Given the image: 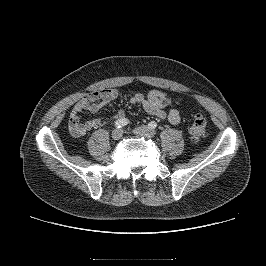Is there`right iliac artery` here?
<instances>
[{"label":"right iliac artery","mask_w":266,"mask_h":266,"mask_svg":"<svg viewBox=\"0 0 266 266\" xmlns=\"http://www.w3.org/2000/svg\"><path fill=\"white\" fill-rule=\"evenodd\" d=\"M128 123H129V120H127L126 118H120V119L115 121L114 126L117 128H122V127L126 126Z\"/></svg>","instance_id":"82829eb1"}]
</instances>
